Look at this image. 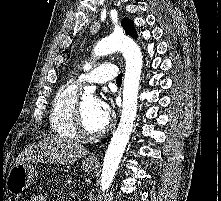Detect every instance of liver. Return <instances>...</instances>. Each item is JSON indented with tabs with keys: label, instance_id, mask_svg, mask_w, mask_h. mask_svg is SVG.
<instances>
[{
	"label": "liver",
	"instance_id": "liver-1",
	"mask_svg": "<svg viewBox=\"0 0 221 201\" xmlns=\"http://www.w3.org/2000/svg\"><path fill=\"white\" fill-rule=\"evenodd\" d=\"M88 154L80 143L62 137L53 136L30 145L18 155L17 162L32 161L53 164H70Z\"/></svg>",
	"mask_w": 221,
	"mask_h": 201
}]
</instances>
